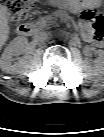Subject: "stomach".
<instances>
[{
    "label": "stomach",
    "mask_w": 104,
    "mask_h": 137,
    "mask_svg": "<svg viewBox=\"0 0 104 137\" xmlns=\"http://www.w3.org/2000/svg\"><path fill=\"white\" fill-rule=\"evenodd\" d=\"M56 2L60 6L74 10L84 8L90 3L88 0H56Z\"/></svg>",
    "instance_id": "1"
}]
</instances>
